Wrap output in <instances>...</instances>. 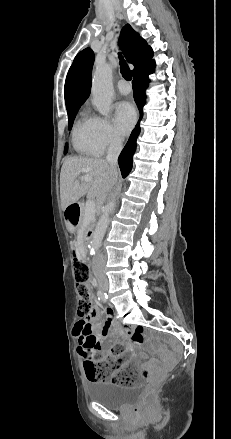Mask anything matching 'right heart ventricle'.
Wrapping results in <instances>:
<instances>
[{"label": "right heart ventricle", "mask_w": 231, "mask_h": 439, "mask_svg": "<svg viewBox=\"0 0 231 439\" xmlns=\"http://www.w3.org/2000/svg\"><path fill=\"white\" fill-rule=\"evenodd\" d=\"M72 143L74 149L82 155L96 156L100 154L91 139L90 117L85 112L81 114L74 126Z\"/></svg>", "instance_id": "right-heart-ventricle-1"}]
</instances>
